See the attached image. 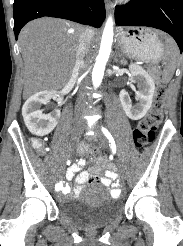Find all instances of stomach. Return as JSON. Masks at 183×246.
<instances>
[{
	"instance_id": "obj_1",
	"label": "stomach",
	"mask_w": 183,
	"mask_h": 246,
	"mask_svg": "<svg viewBox=\"0 0 183 246\" xmlns=\"http://www.w3.org/2000/svg\"><path fill=\"white\" fill-rule=\"evenodd\" d=\"M158 33L147 28L120 29L118 43L126 55L155 63L164 55V45Z\"/></svg>"
}]
</instances>
